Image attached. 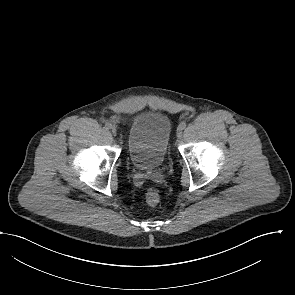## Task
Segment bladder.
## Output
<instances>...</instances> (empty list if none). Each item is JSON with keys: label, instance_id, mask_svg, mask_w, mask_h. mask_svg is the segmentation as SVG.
<instances>
[{"label": "bladder", "instance_id": "1", "mask_svg": "<svg viewBox=\"0 0 295 295\" xmlns=\"http://www.w3.org/2000/svg\"><path fill=\"white\" fill-rule=\"evenodd\" d=\"M171 131V122L163 112H140L127 133L126 148L132 164L141 170L158 168L167 156Z\"/></svg>", "mask_w": 295, "mask_h": 295}]
</instances>
